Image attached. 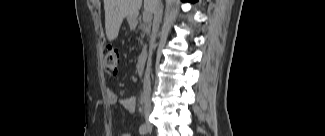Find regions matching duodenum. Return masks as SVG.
Listing matches in <instances>:
<instances>
[{"mask_svg":"<svg viewBox=\"0 0 325 136\" xmlns=\"http://www.w3.org/2000/svg\"><path fill=\"white\" fill-rule=\"evenodd\" d=\"M146 65H147V58L144 56L138 61L137 65H136L137 72L139 74L143 73V71L146 68Z\"/></svg>","mask_w":325,"mask_h":136,"instance_id":"obj_1","label":"duodenum"}]
</instances>
